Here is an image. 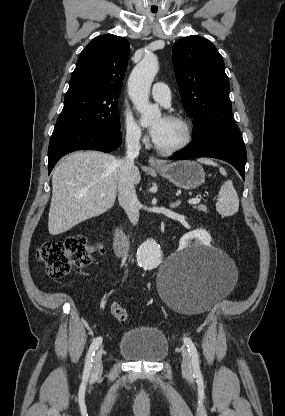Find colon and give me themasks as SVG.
Listing matches in <instances>:
<instances>
[{
  "mask_svg": "<svg viewBox=\"0 0 285 416\" xmlns=\"http://www.w3.org/2000/svg\"><path fill=\"white\" fill-rule=\"evenodd\" d=\"M92 254L93 246L83 235H73L62 241H48L36 251L37 259L51 278L63 277L74 267L88 265ZM111 311L119 322L124 323L127 320V313L121 303L114 302Z\"/></svg>",
  "mask_w": 285,
  "mask_h": 416,
  "instance_id": "5ec220e1",
  "label": "colon"
}]
</instances>
